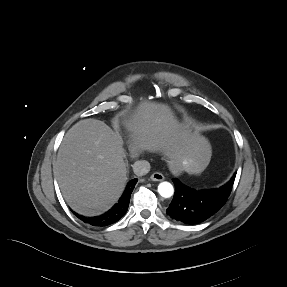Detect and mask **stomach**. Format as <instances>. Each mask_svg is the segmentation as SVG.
Masks as SVG:
<instances>
[{
	"mask_svg": "<svg viewBox=\"0 0 287 287\" xmlns=\"http://www.w3.org/2000/svg\"><path fill=\"white\" fill-rule=\"evenodd\" d=\"M188 174H192V168L189 166L186 170H185Z\"/></svg>",
	"mask_w": 287,
	"mask_h": 287,
	"instance_id": "1",
	"label": "stomach"
}]
</instances>
